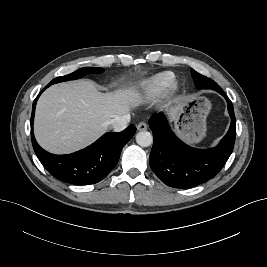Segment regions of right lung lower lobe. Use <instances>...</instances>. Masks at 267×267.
<instances>
[{"label": "right lung lower lobe", "instance_id": "1", "mask_svg": "<svg viewBox=\"0 0 267 267\" xmlns=\"http://www.w3.org/2000/svg\"><path fill=\"white\" fill-rule=\"evenodd\" d=\"M47 85L41 93L47 88ZM34 100L31 116V139L34 151L47 171L56 179L75 185L95 184L104 179L118 163L123 146L136 132L129 126L122 132H108L96 142L78 152L68 155H54L43 150L33 134V120L36 102Z\"/></svg>", "mask_w": 267, "mask_h": 267}]
</instances>
